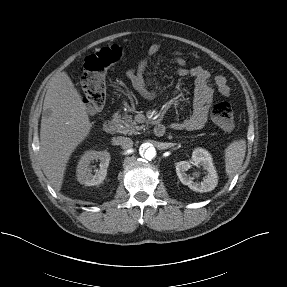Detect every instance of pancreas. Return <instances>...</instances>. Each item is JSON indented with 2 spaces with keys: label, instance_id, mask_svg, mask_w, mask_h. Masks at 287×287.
<instances>
[{
  "label": "pancreas",
  "instance_id": "pancreas-1",
  "mask_svg": "<svg viewBox=\"0 0 287 287\" xmlns=\"http://www.w3.org/2000/svg\"><path fill=\"white\" fill-rule=\"evenodd\" d=\"M114 121L118 123V132L123 134H138V131L143 128V126H138L137 123L132 119L131 115L125 114L121 117L118 113L114 114Z\"/></svg>",
  "mask_w": 287,
  "mask_h": 287
}]
</instances>
